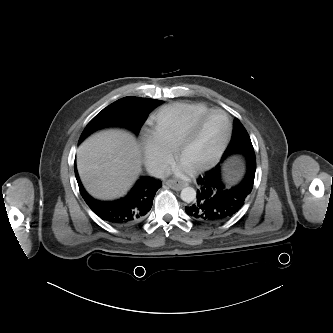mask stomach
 Listing matches in <instances>:
<instances>
[{
    "label": "stomach",
    "instance_id": "stomach-1",
    "mask_svg": "<svg viewBox=\"0 0 333 333\" xmlns=\"http://www.w3.org/2000/svg\"><path fill=\"white\" fill-rule=\"evenodd\" d=\"M241 163L231 160L224 167L225 179L229 182L235 181L241 172Z\"/></svg>",
    "mask_w": 333,
    "mask_h": 333
}]
</instances>
